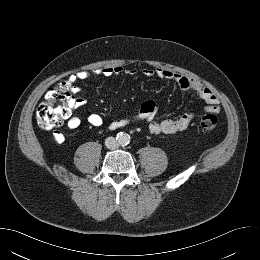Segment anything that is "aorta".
I'll return each mask as SVG.
<instances>
[{"label":"aorta","mask_w":260,"mask_h":260,"mask_svg":"<svg viewBox=\"0 0 260 260\" xmlns=\"http://www.w3.org/2000/svg\"><path fill=\"white\" fill-rule=\"evenodd\" d=\"M118 142L120 145H127L130 142V136L127 133L118 134Z\"/></svg>","instance_id":"aorta-1"}]
</instances>
